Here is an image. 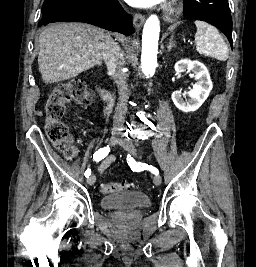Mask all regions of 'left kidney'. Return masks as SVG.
Returning a JSON list of instances; mask_svg holds the SVG:
<instances>
[{
	"instance_id": "left-kidney-1",
	"label": "left kidney",
	"mask_w": 256,
	"mask_h": 267,
	"mask_svg": "<svg viewBox=\"0 0 256 267\" xmlns=\"http://www.w3.org/2000/svg\"><path fill=\"white\" fill-rule=\"evenodd\" d=\"M174 70L176 74H181V72H193L195 74L193 78L198 80V82L194 84L193 90H190V92H179V90H176L171 96L176 108H179L182 112H195L207 100L213 88L210 74L202 62H198V60L192 62V60H187V58L186 60L176 62ZM186 96L188 100H186Z\"/></svg>"
}]
</instances>
